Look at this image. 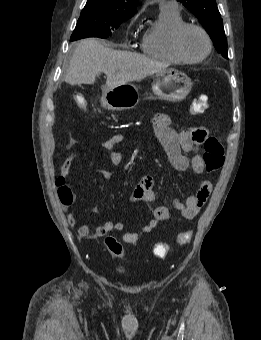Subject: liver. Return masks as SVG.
Here are the masks:
<instances>
[{
    "label": "liver",
    "instance_id": "6515ba94",
    "mask_svg": "<svg viewBox=\"0 0 261 340\" xmlns=\"http://www.w3.org/2000/svg\"><path fill=\"white\" fill-rule=\"evenodd\" d=\"M167 65L129 51L105 47L96 38L81 40L72 55L65 82L70 85L94 84L100 73L107 76L104 88H113L157 74Z\"/></svg>",
    "mask_w": 261,
    "mask_h": 340
}]
</instances>
